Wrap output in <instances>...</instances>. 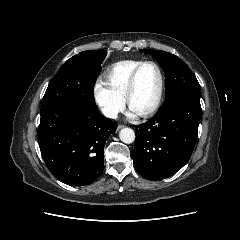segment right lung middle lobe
I'll use <instances>...</instances> for the list:
<instances>
[{"label":"right lung middle lobe","mask_w":240,"mask_h":240,"mask_svg":"<svg viewBox=\"0 0 240 240\" xmlns=\"http://www.w3.org/2000/svg\"><path fill=\"white\" fill-rule=\"evenodd\" d=\"M106 54V50H89L67 60L50 81L41 111L63 103L96 108L93 87Z\"/></svg>","instance_id":"dd1d6c3e"}]
</instances>
